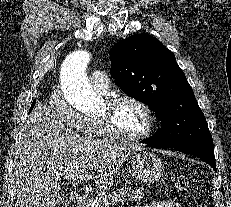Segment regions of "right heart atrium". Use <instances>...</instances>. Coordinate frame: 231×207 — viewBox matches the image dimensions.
I'll use <instances>...</instances> for the list:
<instances>
[{
  "label": "right heart atrium",
  "instance_id": "d8ad5b80",
  "mask_svg": "<svg viewBox=\"0 0 231 207\" xmlns=\"http://www.w3.org/2000/svg\"><path fill=\"white\" fill-rule=\"evenodd\" d=\"M50 106L60 122L70 128L84 132L85 118L66 101L59 89L51 92Z\"/></svg>",
  "mask_w": 231,
  "mask_h": 207
}]
</instances>
